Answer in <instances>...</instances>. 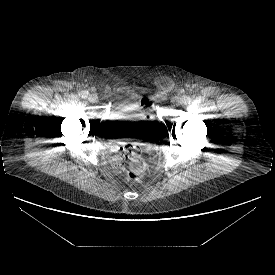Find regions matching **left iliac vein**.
<instances>
[{
    "label": "left iliac vein",
    "mask_w": 275,
    "mask_h": 275,
    "mask_svg": "<svg viewBox=\"0 0 275 275\" xmlns=\"http://www.w3.org/2000/svg\"><path fill=\"white\" fill-rule=\"evenodd\" d=\"M171 102L174 106H178L183 103L182 98H180L178 96L174 97Z\"/></svg>",
    "instance_id": "1"
}]
</instances>
